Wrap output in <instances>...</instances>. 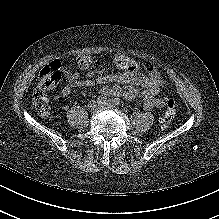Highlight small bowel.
<instances>
[{
	"mask_svg": "<svg viewBox=\"0 0 219 219\" xmlns=\"http://www.w3.org/2000/svg\"><path fill=\"white\" fill-rule=\"evenodd\" d=\"M114 61L120 71H91L82 76L79 71L67 74V82L55 100L68 97L75 88L93 87L96 84L104 85L100 90L103 96H120L128 101L139 98L145 110L162 108L165 101L157 95L163 88V82L155 69L149 67L145 74L140 73V64L137 60L119 53ZM91 59L86 56L79 57L77 66L80 70L89 67ZM136 87H140V90Z\"/></svg>",
	"mask_w": 219,
	"mask_h": 219,
	"instance_id": "small-bowel-1",
	"label": "small bowel"
}]
</instances>
